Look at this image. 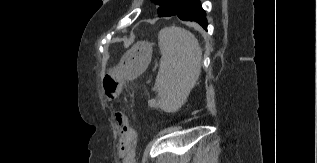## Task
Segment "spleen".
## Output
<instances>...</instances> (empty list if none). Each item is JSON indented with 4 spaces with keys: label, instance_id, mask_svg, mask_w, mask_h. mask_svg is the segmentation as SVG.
<instances>
[{
    "label": "spleen",
    "instance_id": "3e777b00",
    "mask_svg": "<svg viewBox=\"0 0 317 163\" xmlns=\"http://www.w3.org/2000/svg\"><path fill=\"white\" fill-rule=\"evenodd\" d=\"M160 68L154 90L158 106L167 113L186 101L201 73L202 50L195 36L181 27H165L158 34Z\"/></svg>",
    "mask_w": 317,
    "mask_h": 163
}]
</instances>
